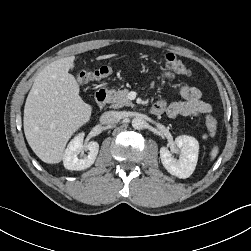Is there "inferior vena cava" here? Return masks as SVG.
<instances>
[{"mask_svg": "<svg viewBox=\"0 0 251 251\" xmlns=\"http://www.w3.org/2000/svg\"><path fill=\"white\" fill-rule=\"evenodd\" d=\"M119 120L118 113L115 111H107L100 116V123L103 125L115 124Z\"/></svg>", "mask_w": 251, "mask_h": 251, "instance_id": "obj_1", "label": "inferior vena cava"}]
</instances>
